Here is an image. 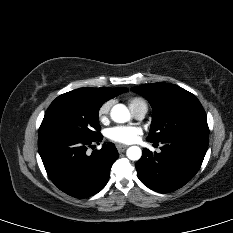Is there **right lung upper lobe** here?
<instances>
[{"label": "right lung upper lobe", "mask_w": 233, "mask_h": 233, "mask_svg": "<svg viewBox=\"0 0 233 233\" xmlns=\"http://www.w3.org/2000/svg\"><path fill=\"white\" fill-rule=\"evenodd\" d=\"M76 93L82 94L85 97H88L91 100L96 102L104 103L107 100L128 91L127 88H80L73 90Z\"/></svg>", "instance_id": "1"}]
</instances>
